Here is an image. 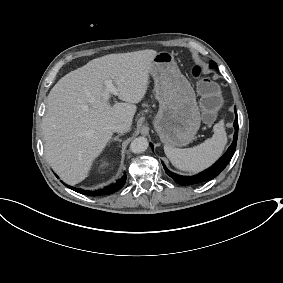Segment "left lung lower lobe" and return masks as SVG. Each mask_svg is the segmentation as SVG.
<instances>
[{
  "instance_id": "obj_1",
  "label": "left lung lower lobe",
  "mask_w": 283,
  "mask_h": 283,
  "mask_svg": "<svg viewBox=\"0 0 283 283\" xmlns=\"http://www.w3.org/2000/svg\"><path fill=\"white\" fill-rule=\"evenodd\" d=\"M235 121H234V127H235V134H234V140L227 150V152L210 168L207 170L194 175V176H181L177 175L175 173L170 172L166 166L163 164L165 172L178 184L180 185H193V184H200L209 180H212L215 178L220 172L224 170L226 165L229 163L231 160L235 149H236V143H237V137H238V117H237V112L235 111ZM153 148V145H151Z\"/></svg>"
}]
</instances>
